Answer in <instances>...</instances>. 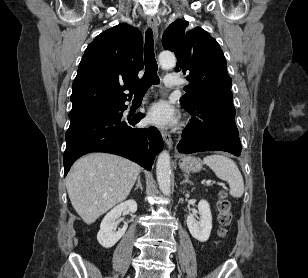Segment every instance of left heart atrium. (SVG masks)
I'll use <instances>...</instances> for the list:
<instances>
[{
  "label": "left heart atrium",
  "instance_id": "39dd6f15",
  "mask_svg": "<svg viewBox=\"0 0 308 278\" xmlns=\"http://www.w3.org/2000/svg\"><path fill=\"white\" fill-rule=\"evenodd\" d=\"M177 114L173 106L165 100L155 102L148 110L147 119L159 127H169L176 123Z\"/></svg>",
  "mask_w": 308,
  "mask_h": 278
}]
</instances>
